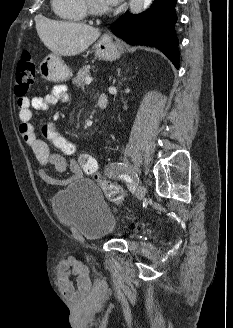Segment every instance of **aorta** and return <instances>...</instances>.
Returning a JSON list of instances; mask_svg holds the SVG:
<instances>
[{"instance_id":"aorta-1","label":"aorta","mask_w":233,"mask_h":328,"mask_svg":"<svg viewBox=\"0 0 233 328\" xmlns=\"http://www.w3.org/2000/svg\"><path fill=\"white\" fill-rule=\"evenodd\" d=\"M152 3V0H130V12L138 14L142 9L147 8Z\"/></svg>"}]
</instances>
